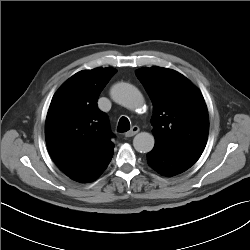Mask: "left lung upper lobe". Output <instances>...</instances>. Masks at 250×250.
Instances as JSON below:
<instances>
[{"label":"left lung upper lobe","instance_id":"5c2ea615","mask_svg":"<svg viewBox=\"0 0 250 250\" xmlns=\"http://www.w3.org/2000/svg\"><path fill=\"white\" fill-rule=\"evenodd\" d=\"M135 73L153 103L150 122L155 147L201 155L207 143L209 117L200 91L171 69L141 68Z\"/></svg>","mask_w":250,"mask_h":250}]
</instances>
